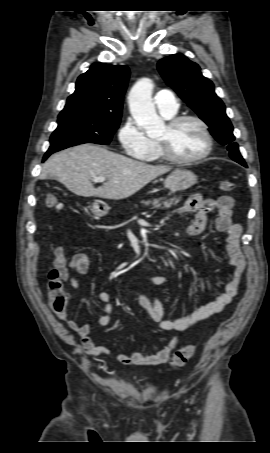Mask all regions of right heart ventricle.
Listing matches in <instances>:
<instances>
[{"label":"right heart ventricle","instance_id":"e07e8e85","mask_svg":"<svg viewBox=\"0 0 270 453\" xmlns=\"http://www.w3.org/2000/svg\"><path fill=\"white\" fill-rule=\"evenodd\" d=\"M166 118H171L172 116H165ZM144 162H162L165 160L161 154L160 148L157 141H151V146L149 151L140 158Z\"/></svg>","mask_w":270,"mask_h":453}]
</instances>
